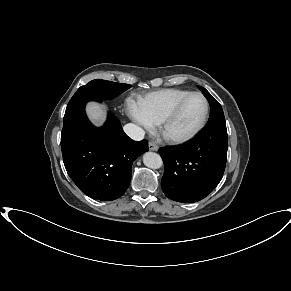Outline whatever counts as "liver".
I'll use <instances>...</instances> for the list:
<instances>
[{
	"instance_id": "6515ba94",
	"label": "liver",
	"mask_w": 291,
	"mask_h": 291,
	"mask_svg": "<svg viewBox=\"0 0 291 291\" xmlns=\"http://www.w3.org/2000/svg\"><path fill=\"white\" fill-rule=\"evenodd\" d=\"M89 118L97 125H101L106 117L105 110L97 103H89L86 108Z\"/></svg>"
}]
</instances>
